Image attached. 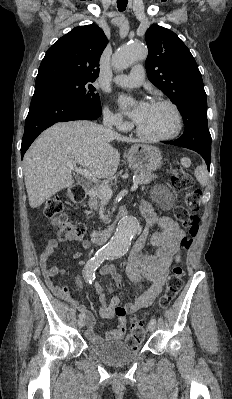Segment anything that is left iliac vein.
Segmentation results:
<instances>
[{"label":"left iliac vein","instance_id":"4c4485c4","mask_svg":"<svg viewBox=\"0 0 232 399\" xmlns=\"http://www.w3.org/2000/svg\"><path fill=\"white\" fill-rule=\"evenodd\" d=\"M148 328H149V331H150L151 333H154V332H153V329L155 328V324H154V325H148Z\"/></svg>","mask_w":232,"mask_h":399}]
</instances>
